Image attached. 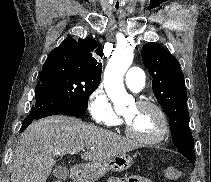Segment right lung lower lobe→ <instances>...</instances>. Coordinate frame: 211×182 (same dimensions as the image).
<instances>
[{
    "mask_svg": "<svg viewBox=\"0 0 211 182\" xmlns=\"http://www.w3.org/2000/svg\"><path fill=\"white\" fill-rule=\"evenodd\" d=\"M35 99L36 105L32 107L30 114L25 118L20 132H23L34 119L56 114L77 117L85 114V111L76 108L68 100L47 91H35Z\"/></svg>",
    "mask_w": 211,
    "mask_h": 182,
    "instance_id": "obj_1",
    "label": "right lung lower lobe"
}]
</instances>
